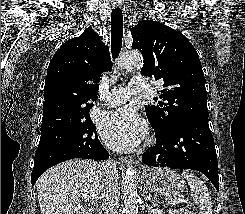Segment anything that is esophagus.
Returning <instances> with one entry per match:
<instances>
[{
    "instance_id": "1",
    "label": "esophagus",
    "mask_w": 245,
    "mask_h": 214,
    "mask_svg": "<svg viewBox=\"0 0 245 214\" xmlns=\"http://www.w3.org/2000/svg\"><path fill=\"white\" fill-rule=\"evenodd\" d=\"M116 7H120V5L117 4ZM131 161H132L131 158H127V157H121V158H120V162H122V163H129V162H131Z\"/></svg>"
}]
</instances>
